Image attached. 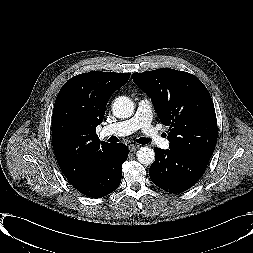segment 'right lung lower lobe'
Wrapping results in <instances>:
<instances>
[{
    "instance_id": "1",
    "label": "right lung lower lobe",
    "mask_w": 253,
    "mask_h": 253,
    "mask_svg": "<svg viewBox=\"0 0 253 253\" xmlns=\"http://www.w3.org/2000/svg\"><path fill=\"white\" fill-rule=\"evenodd\" d=\"M128 156V148L122 143L111 144L99 161L89 170L83 182L74 186L82 194L101 198L116 190L121 182L122 164Z\"/></svg>"
}]
</instances>
